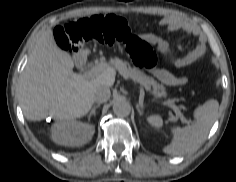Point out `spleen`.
Wrapping results in <instances>:
<instances>
[{
    "label": "spleen",
    "instance_id": "1",
    "mask_svg": "<svg viewBox=\"0 0 236 182\" xmlns=\"http://www.w3.org/2000/svg\"><path fill=\"white\" fill-rule=\"evenodd\" d=\"M218 110V102L210 100L199 106L195 112V122L186 127H173L172 142L167 145L163 151L171 155H182L198 149L205 141L214 121ZM148 123L161 128L163 120L159 115H152L147 118Z\"/></svg>",
    "mask_w": 236,
    "mask_h": 182
}]
</instances>
